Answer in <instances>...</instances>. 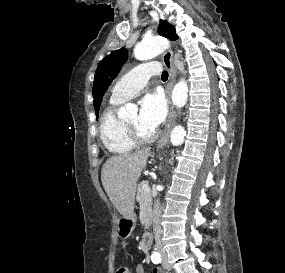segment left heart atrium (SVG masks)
Instances as JSON below:
<instances>
[{"label": "left heart atrium", "instance_id": "39dd6f15", "mask_svg": "<svg viewBox=\"0 0 285 273\" xmlns=\"http://www.w3.org/2000/svg\"><path fill=\"white\" fill-rule=\"evenodd\" d=\"M167 106L160 92L145 95L140 102L139 121L144 127L157 129L165 120Z\"/></svg>", "mask_w": 285, "mask_h": 273}]
</instances>
